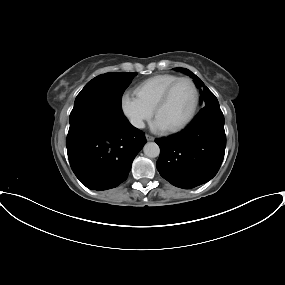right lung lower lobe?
I'll return each instance as SVG.
<instances>
[{"label": "right lung lower lobe", "instance_id": "1", "mask_svg": "<svg viewBox=\"0 0 285 285\" xmlns=\"http://www.w3.org/2000/svg\"><path fill=\"white\" fill-rule=\"evenodd\" d=\"M145 134L123 117L91 112L70 122L66 140L71 168L91 190L117 187L146 143Z\"/></svg>", "mask_w": 285, "mask_h": 285}]
</instances>
